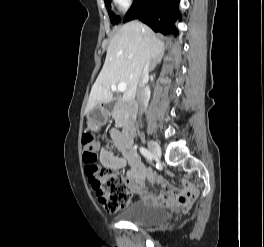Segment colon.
Returning a JSON list of instances; mask_svg holds the SVG:
<instances>
[{"label": "colon", "mask_w": 264, "mask_h": 247, "mask_svg": "<svg viewBox=\"0 0 264 247\" xmlns=\"http://www.w3.org/2000/svg\"><path fill=\"white\" fill-rule=\"evenodd\" d=\"M101 136L104 137L105 134ZM92 140V136H86L83 143L85 172L91 189L105 211L109 213L118 212L130 203V189L119 172L99 166L97 162L98 152L92 146Z\"/></svg>", "instance_id": "1"}]
</instances>
